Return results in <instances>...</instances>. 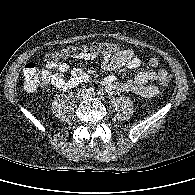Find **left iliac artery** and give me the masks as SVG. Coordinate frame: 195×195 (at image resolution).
I'll return each instance as SVG.
<instances>
[{
    "mask_svg": "<svg viewBox=\"0 0 195 195\" xmlns=\"http://www.w3.org/2000/svg\"><path fill=\"white\" fill-rule=\"evenodd\" d=\"M98 95L102 96L103 95V92L99 91L98 92Z\"/></svg>",
    "mask_w": 195,
    "mask_h": 195,
    "instance_id": "1",
    "label": "left iliac artery"
}]
</instances>
